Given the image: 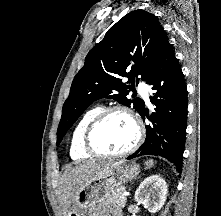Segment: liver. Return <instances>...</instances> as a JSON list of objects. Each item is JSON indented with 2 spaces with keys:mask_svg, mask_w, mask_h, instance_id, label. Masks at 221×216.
<instances>
[{
  "mask_svg": "<svg viewBox=\"0 0 221 216\" xmlns=\"http://www.w3.org/2000/svg\"><path fill=\"white\" fill-rule=\"evenodd\" d=\"M109 164H111V162L86 160L77 163L74 167H67L62 175L59 186V200L65 213L68 212L73 198L79 189L92 176L107 167ZM64 216H67V214Z\"/></svg>",
  "mask_w": 221,
  "mask_h": 216,
  "instance_id": "1",
  "label": "liver"
}]
</instances>
